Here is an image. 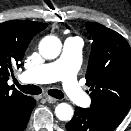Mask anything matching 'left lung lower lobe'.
<instances>
[{"label":"left lung lower lobe","instance_id":"0a47b994","mask_svg":"<svg viewBox=\"0 0 131 131\" xmlns=\"http://www.w3.org/2000/svg\"><path fill=\"white\" fill-rule=\"evenodd\" d=\"M67 131H112L88 109L76 107L73 118L66 124Z\"/></svg>","mask_w":131,"mask_h":131}]
</instances>
